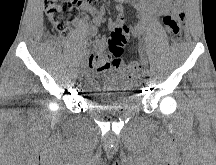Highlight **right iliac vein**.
Here are the masks:
<instances>
[{
	"instance_id": "63e3f726",
	"label": "right iliac vein",
	"mask_w": 216,
	"mask_h": 165,
	"mask_svg": "<svg viewBox=\"0 0 216 165\" xmlns=\"http://www.w3.org/2000/svg\"><path fill=\"white\" fill-rule=\"evenodd\" d=\"M85 73V67L83 66L82 68H80L79 74L83 75Z\"/></svg>"
}]
</instances>
